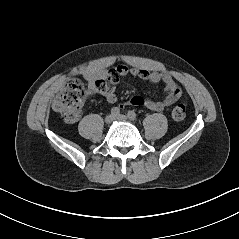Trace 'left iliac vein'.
<instances>
[{
  "label": "left iliac vein",
  "mask_w": 239,
  "mask_h": 239,
  "mask_svg": "<svg viewBox=\"0 0 239 239\" xmlns=\"http://www.w3.org/2000/svg\"><path fill=\"white\" fill-rule=\"evenodd\" d=\"M114 118L117 120H125V121L128 120L127 116L122 114L116 115Z\"/></svg>",
  "instance_id": "1"
}]
</instances>
